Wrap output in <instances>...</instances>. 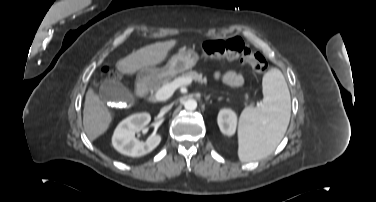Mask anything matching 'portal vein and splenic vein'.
<instances>
[{
  "label": "portal vein and splenic vein",
  "mask_w": 376,
  "mask_h": 202,
  "mask_svg": "<svg viewBox=\"0 0 376 202\" xmlns=\"http://www.w3.org/2000/svg\"><path fill=\"white\" fill-rule=\"evenodd\" d=\"M192 83L190 78H178L172 81L171 83L163 85L156 93L155 99L158 101H165L170 98L174 91L182 86H187Z\"/></svg>",
  "instance_id": "portal-vein-and-splenic-vein-1"
}]
</instances>
